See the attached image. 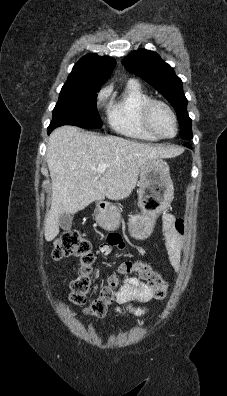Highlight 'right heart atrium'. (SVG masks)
<instances>
[{"mask_svg": "<svg viewBox=\"0 0 227 396\" xmlns=\"http://www.w3.org/2000/svg\"><path fill=\"white\" fill-rule=\"evenodd\" d=\"M107 95H108V92H107L106 90L102 91V92L99 94V96H98V100H99V101L104 100V99L107 97Z\"/></svg>", "mask_w": 227, "mask_h": 396, "instance_id": "obj_1", "label": "right heart atrium"}]
</instances>
